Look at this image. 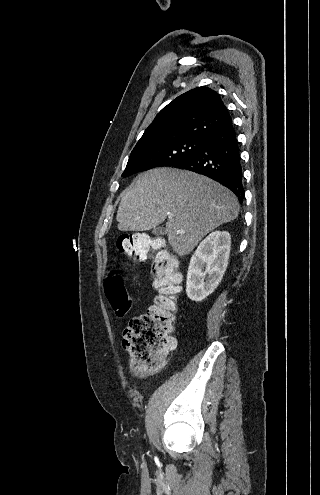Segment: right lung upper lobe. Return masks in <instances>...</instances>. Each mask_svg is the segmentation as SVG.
<instances>
[{
    "label": "right lung upper lobe",
    "mask_w": 320,
    "mask_h": 495,
    "mask_svg": "<svg viewBox=\"0 0 320 495\" xmlns=\"http://www.w3.org/2000/svg\"><path fill=\"white\" fill-rule=\"evenodd\" d=\"M231 122L232 118L221 96L208 87H197L166 105L145 130L136 146H150L185 138L205 139Z\"/></svg>",
    "instance_id": "cb5924a9"
}]
</instances>
